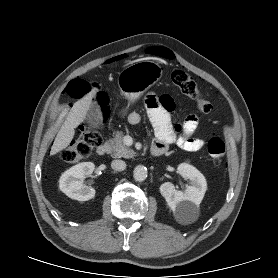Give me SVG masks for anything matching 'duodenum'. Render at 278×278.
Returning <instances> with one entry per match:
<instances>
[{
	"mask_svg": "<svg viewBox=\"0 0 278 278\" xmlns=\"http://www.w3.org/2000/svg\"><path fill=\"white\" fill-rule=\"evenodd\" d=\"M110 150V144L108 142H104L100 144L96 150L99 156L106 155ZM165 152V149L159 145H153L151 148V154L155 157L161 156Z\"/></svg>",
	"mask_w": 278,
	"mask_h": 278,
	"instance_id": "obj_1",
	"label": "duodenum"
}]
</instances>
